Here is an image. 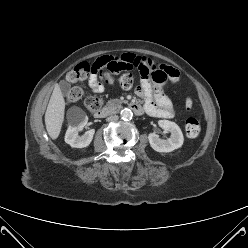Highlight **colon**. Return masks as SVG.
<instances>
[{"label": "colon", "mask_w": 248, "mask_h": 248, "mask_svg": "<svg viewBox=\"0 0 248 248\" xmlns=\"http://www.w3.org/2000/svg\"><path fill=\"white\" fill-rule=\"evenodd\" d=\"M92 75L98 76L105 83H113L114 81H117L124 89L131 88L137 78H150L155 82H163L165 80L163 77L158 79L154 73L149 74L142 71L125 72L116 77L115 70L111 66L102 64L99 61H96L93 64L83 63L77 65L68 73L67 79L71 83H78L86 80ZM81 99H84V105L90 113H96L101 109L102 101L97 97L85 95L84 91L80 87H74L68 92V102L74 103ZM184 103L186 108L190 109L192 107V100L190 97H185ZM185 130L187 135L190 137L198 136L201 132V124L199 120L194 117L188 118L185 123Z\"/></svg>", "instance_id": "obj_1"}]
</instances>
